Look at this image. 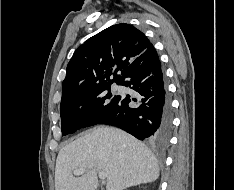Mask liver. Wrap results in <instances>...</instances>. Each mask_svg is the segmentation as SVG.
Here are the masks:
<instances>
[{"label":"liver","mask_w":234,"mask_h":190,"mask_svg":"<svg viewBox=\"0 0 234 190\" xmlns=\"http://www.w3.org/2000/svg\"><path fill=\"white\" fill-rule=\"evenodd\" d=\"M78 169L85 172L74 177ZM97 170L107 175L106 190H124L159 177L157 159L142 142L120 129L102 126L59 151L55 190H96Z\"/></svg>","instance_id":"liver-1"}]
</instances>
